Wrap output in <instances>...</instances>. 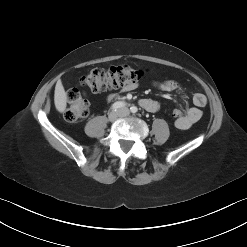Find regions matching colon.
Listing matches in <instances>:
<instances>
[{"label": "colon", "instance_id": "1", "mask_svg": "<svg viewBox=\"0 0 247 247\" xmlns=\"http://www.w3.org/2000/svg\"><path fill=\"white\" fill-rule=\"evenodd\" d=\"M143 77V71L128 65L112 66L108 69L93 68L80 79V84L93 92L125 88L137 84ZM89 103L77 88L67 90V107L64 118L69 123H76L87 117ZM175 119L183 116V111L174 109Z\"/></svg>", "mask_w": 247, "mask_h": 247}]
</instances>
